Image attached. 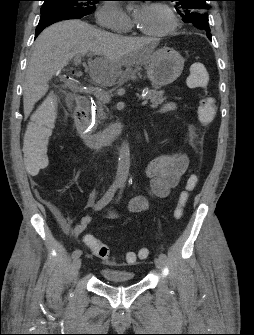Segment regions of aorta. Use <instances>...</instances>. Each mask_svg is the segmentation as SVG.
Listing matches in <instances>:
<instances>
[{"instance_id":"762f6f07","label":"aorta","mask_w":254,"mask_h":335,"mask_svg":"<svg viewBox=\"0 0 254 335\" xmlns=\"http://www.w3.org/2000/svg\"><path fill=\"white\" fill-rule=\"evenodd\" d=\"M130 168V147L127 141H123L120 147L119 161L117 165L115 184L118 186H124Z\"/></svg>"}]
</instances>
